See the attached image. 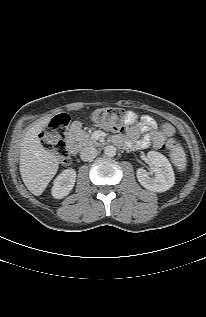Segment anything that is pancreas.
I'll return each mask as SVG.
<instances>
[{
	"mask_svg": "<svg viewBox=\"0 0 206 317\" xmlns=\"http://www.w3.org/2000/svg\"><path fill=\"white\" fill-rule=\"evenodd\" d=\"M73 138L80 146H90L96 143V141L90 137V134L83 130L74 131Z\"/></svg>",
	"mask_w": 206,
	"mask_h": 317,
	"instance_id": "obj_1",
	"label": "pancreas"
}]
</instances>
